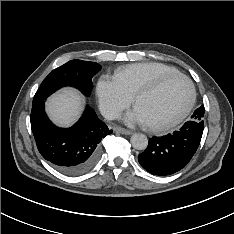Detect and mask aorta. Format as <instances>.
I'll list each match as a JSON object with an SVG mask.
<instances>
[{
  "mask_svg": "<svg viewBox=\"0 0 234 234\" xmlns=\"http://www.w3.org/2000/svg\"><path fill=\"white\" fill-rule=\"evenodd\" d=\"M131 145L137 150H145L148 145L147 136L141 133H135L130 139Z\"/></svg>",
  "mask_w": 234,
  "mask_h": 234,
  "instance_id": "1",
  "label": "aorta"
}]
</instances>
